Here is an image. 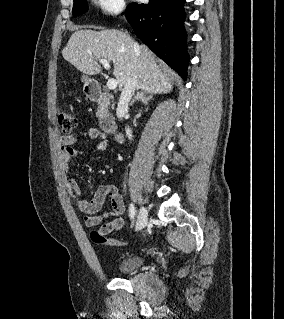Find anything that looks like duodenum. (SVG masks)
<instances>
[{"mask_svg":"<svg viewBox=\"0 0 284 319\" xmlns=\"http://www.w3.org/2000/svg\"><path fill=\"white\" fill-rule=\"evenodd\" d=\"M87 94L90 100L96 102L103 108V112L99 117V126L102 129V131L109 134H114L116 139L120 141L121 136L120 134H118L116 122L107 110L112 96L108 93L101 91L96 86H89V88L87 89Z\"/></svg>","mask_w":284,"mask_h":319,"instance_id":"410a0bca","label":"duodenum"}]
</instances>
